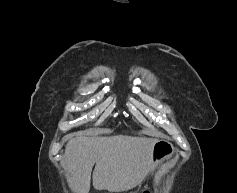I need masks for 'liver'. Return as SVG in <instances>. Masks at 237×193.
Segmentation results:
<instances>
[{"label":"liver","mask_w":237,"mask_h":193,"mask_svg":"<svg viewBox=\"0 0 237 193\" xmlns=\"http://www.w3.org/2000/svg\"><path fill=\"white\" fill-rule=\"evenodd\" d=\"M157 139L115 135L110 137L77 134L66 147L63 167L76 193H88L92 168L96 190L123 192L139 185L151 168Z\"/></svg>","instance_id":"6515ba94"}]
</instances>
